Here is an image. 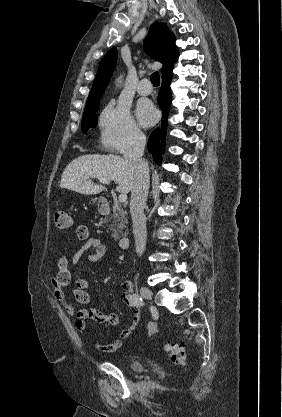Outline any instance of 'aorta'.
<instances>
[{"label": "aorta", "instance_id": "obj_1", "mask_svg": "<svg viewBox=\"0 0 282 417\" xmlns=\"http://www.w3.org/2000/svg\"><path fill=\"white\" fill-rule=\"evenodd\" d=\"M120 78L121 76H119V78H116V82H121Z\"/></svg>", "mask_w": 282, "mask_h": 417}]
</instances>
